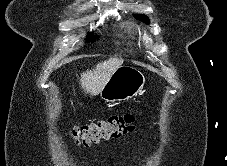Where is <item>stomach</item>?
<instances>
[{
    "instance_id": "0dacf381",
    "label": "stomach",
    "mask_w": 227,
    "mask_h": 166,
    "mask_svg": "<svg viewBox=\"0 0 227 166\" xmlns=\"http://www.w3.org/2000/svg\"><path fill=\"white\" fill-rule=\"evenodd\" d=\"M144 74L136 67L121 65L100 92L106 102L126 101L140 94L145 85Z\"/></svg>"
}]
</instances>
